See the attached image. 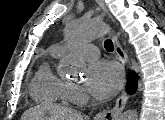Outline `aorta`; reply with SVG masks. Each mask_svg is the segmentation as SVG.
Here are the masks:
<instances>
[{
  "label": "aorta",
  "mask_w": 165,
  "mask_h": 120,
  "mask_svg": "<svg viewBox=\"0 0 165 120\" xmlns=\"http://www.w3.org/2000/svg\"><path fill=\"white\" fill-rule=\"evenodd\" d=\"M107 32V26L99 20L86 22L81 19H75L67 23L66 35L70 44L81 42L88 39H94L104 35ZM65 70L72 72L74 70H83L84 64L81 61L69 59L64 62ZM120 120H138L136 110H128L120 117Z\"/></svg>",
  "instance_id": "1"
}]
</instances>
